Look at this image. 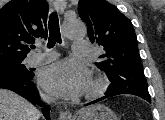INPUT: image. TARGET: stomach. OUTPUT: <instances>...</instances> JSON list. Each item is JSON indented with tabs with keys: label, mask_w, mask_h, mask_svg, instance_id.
<instances>
[{
	"label": "stomach",
	"mask_w": 165,
	"mask_h": 120,
	"mask_svg": "<svg viewBox=\"0 0 165 120\" xmlns=\"http://www.w3.org/2000/svg\"><path fill=\"white\" fill-rule=\"evenodd\" d=\"M77 120H118V118L106 105L96 104L83 109Z\"/></svg>",
	"instance_id": "stomach-1"
}]
</instances>
